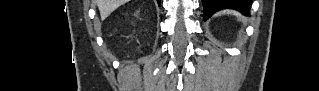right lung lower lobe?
<instances>
[{
  "label": "right lung lower lobe",
  "instance_id": "right-lung-lower-lobe-1",
  "mask_svg": "<svg viewBox=\"0 0 319 91\" xmlns=\"http://www.w3.org/2000/svg\"><path fill=\"white\" fill-rule=\"evenodd\" d=\"M158 4L160 5L161 4V1L160 0H157Z\"/></svg>",
  "mask_w": 319,
  "mask_h": 91
}]
</instances>
